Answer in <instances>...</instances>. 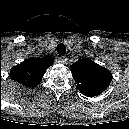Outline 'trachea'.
I'll use <instances>...</instances> for the list:
<instances>
[{
	"instance_id": "1",
	"label": "trachea",
	"mask_w": 129,
	"mask_h": 129,
	"mask_svg": "<svg viewBox=\"0 0 129 129\" xmlns=\"http://www.w3.org/2000/svg\"><path fill=\"white\" fill-rule=\"evenodd\" d=\"M57 52L61 56L65 55L66 48H65V45L63 43H60V44L57 45Z\"/></svg>"
}]
</instances>
